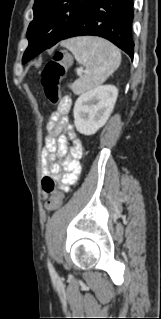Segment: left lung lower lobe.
Segmentation results:
<instances>
[{"label":"left lung lower lobe","mask_w":161,"mask_h":319,"mask_svg":"<svg viewBox=\"0 0 161 319\" xmlns=\"http://www.w3.org/2000/svg\"><path fill=\"white\" fill-rule=\"evenodd\" d=\"M132 22L133 0H95L61 40L83 35L100 36L133 58ZM33 43L31 40L29 45ZM34 50L25 63L36 56L38 50Z\"/></svg>","instance_id":"0a47b994"}]
</instances>
